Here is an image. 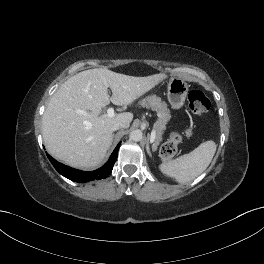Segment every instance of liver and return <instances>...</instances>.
<instances>
[{
  "instance_id": "obj_1",
  "label": "liver",
  "mask_w": 264,
  "mask_h": 264,
  "mask_svg": "<svg viewBox=\"0 0 264 264\" xmlns=\"http://www.w3.org/2000/svg\"><path fill=\"white\" fill-rule=\"evenodd\" d=\"M164 79V74L134 77L106 68L72 76L55 92L43 114L42 134L48 152L72 167L97 166L111 146L112 126L125 123L128 128L133 120L132 113L108 117L102 109L110 101L130 105Z\"/></svg>"
}]
</instances>
